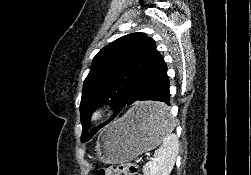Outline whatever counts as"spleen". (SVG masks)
Wrapping results in <instances>:
<instances>
[{
	"mask_svg": "<svg viewBox=\"0 0 251 175\" xmlns=\"http://www.w3.org/2000/svg\"><path fill=\"white\" fill-rule=\"evenodd\" d=\"M153 117L155 123H160L164 139L161 147L155 149L154 159L144 165V175H169L179 151L178 137L175 133H171L174 125L165 107H158Z\"/></svg>",
	"mask_w": 251,
	"mask_h": 175,
	"instance_id": "spleen-1",
	"label": "spleen"
}]
</instances>
